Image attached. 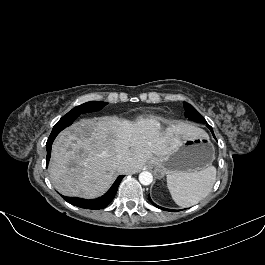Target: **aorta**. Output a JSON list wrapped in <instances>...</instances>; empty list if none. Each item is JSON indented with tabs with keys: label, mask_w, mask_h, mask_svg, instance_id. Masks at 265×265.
<instances>
[{
	"label": "aorta",
	"mask_w": 265,
	"mask_h": 265,
	"mask_svg": "<svg viewBox=\"0 0 265 265\" xmlns=\"http://www.w3.org/2000/svg\"><path fill=\"white\" fill-rule=\"evenodd\" d=\"M139 181L142 185H150L153 181V175L148 171L139 174Z\"/></svg>",
	"instance_id": "aorta-1"
}]
</instances>
